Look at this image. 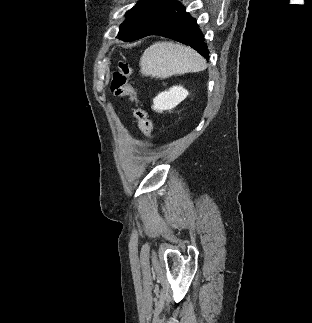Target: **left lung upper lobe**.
<instances>
[{
    "label": "left lung upper lobe",
    "instance_id": "5c2ea615",
    "mask_svg": "<svg viewBox=\"0 0 312 323\" xmlns=\"http://www.w3.org/2000/svg\"><path fill=\"white\" fill-rule=\"evenodd\" d=\"M173 0H139L126 13V21L121 24L118 37L132 41L144 37L153 25L165 18L172 10Z\"/></svg>",
    "mask_w": 312,
    "mask_h": 323
}]
</instances>
